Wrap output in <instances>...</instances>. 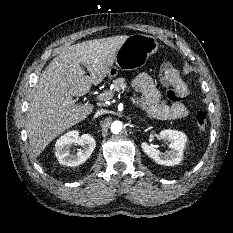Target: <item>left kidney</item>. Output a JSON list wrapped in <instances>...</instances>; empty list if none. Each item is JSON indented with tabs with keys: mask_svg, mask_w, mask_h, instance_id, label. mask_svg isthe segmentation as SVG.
I'll list each match as a JSON object with an SVG mask.
<instances>
[{
	"mask_svg": "<svg viewBox=\"0 0 233 233\" xmlns=\"http://www.w3.org/2000/svg\"><path fill=\"white\" fill-rule=\"evenodd\" d=\"M159 135L163 139L171 140L169 152L162 153L146 142L141 143V148L147 156L153 159L157 164L165 166L178 165L183 159L187 136L181 131L170 129L160 131Z\"/></svg>",
	"mask_w": 233,
	"mask_h": 233,
	"instance_id": "1",
	"label": "left kidney"
}]
</instances>
